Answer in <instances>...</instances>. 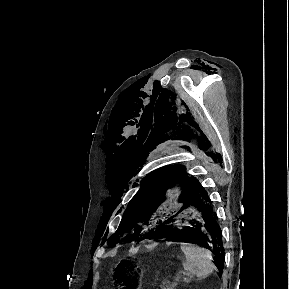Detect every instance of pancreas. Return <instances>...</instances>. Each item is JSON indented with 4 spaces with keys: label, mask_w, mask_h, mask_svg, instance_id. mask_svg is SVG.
<instances>
[{
    "label": "pancreas",
    "mask_w": 289,
    "mask_h": 289,
    "mask_svg": "<svg viewBox=\"0 0 289 289\" xmlns=\"http://www.w3.org/2000/svg\"><path fill=\"white\" fill-rule=\"evenodd\" d=\"M175 284H166L162 287V289H175Z\"/></svg>",
    "instance_id": "pancreas-1"
}]
</instances>
